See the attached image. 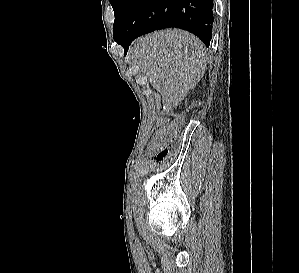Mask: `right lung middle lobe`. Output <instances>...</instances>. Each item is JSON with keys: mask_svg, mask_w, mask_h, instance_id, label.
Masks as SVG:
<instances>
[{"mask_svg": "<svg viewBox=\"0 0 299 273\" xmlns=\"http://www.w3.org/2000/svg\"><path fill=\"white\" fill-rule=\"evenodd\" d=\"M109 1L113 7L114 15H115V20L113 25V36L115 39L119 33V30L134 0H109Z\"/></svg>", "mask_w": 299, "mask_h": 273, "instance_id": "obj_1", "label": "right lung middle lobe"}]
</instances>
